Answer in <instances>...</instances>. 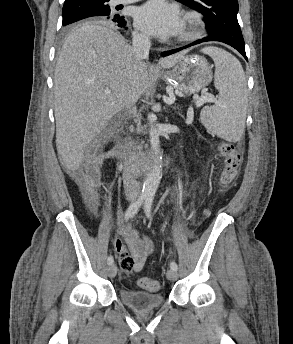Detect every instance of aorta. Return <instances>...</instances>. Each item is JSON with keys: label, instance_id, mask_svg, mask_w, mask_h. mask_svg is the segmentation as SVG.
<instances>
[{"label": "aorta", "instance_id": "aorta-1", "mask_svg": "<svg viewBox=\"0 0 293 344\" xmlns=\"http://www.w3.org/2000/svg\"><path fill=\"white\" fill-rule=\"evenodd\" d=\"M149 138L151 144L152 166L144 181L142 194L146 197H153L161 179V150L159 133L155 127L156 115L148 114Z\"/></svg>", "mask_w": 293, "mask_h": 344}]
</instances>
